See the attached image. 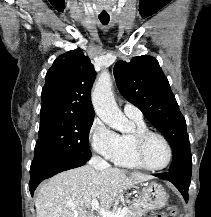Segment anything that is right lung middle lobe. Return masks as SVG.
Listing matches in <instances>:
<instances>
[{"label":"right lung middle lobe","mask_w":211,"mask_h":217,"mask_svg":"<svg viewBox=\"0 0 211 217\" xmlns=\"http://www.w3.org/2000/svg\"><path fill=\"white\" fill-rule=\"evenodd\" d=\"M93 117L55 115L40 120L34 158L62 156L89 160L92 153L88 136Z\"/></svg>","instance_id":"dd1d6c3e"}]
</instances>
